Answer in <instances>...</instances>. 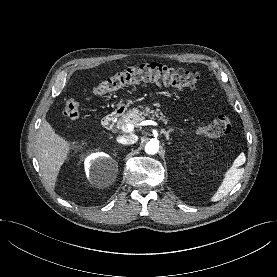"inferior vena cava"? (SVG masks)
I'll return each instance as SVG.
<instances>
[{"mask_svg":"<svg viewBox=\"0 0 277 277\" xmlns=\"http://www.w3.org/2000/svg\"><path fill=\"white\" fill-rule=\"evenodd\" d=\"M138 140L137 135L130 133L117 138V141L121 144L129 145L134 144Z\"/></svg>","mask_w":277,"mask_h":277,"instance_id":"602c4592","label":"inferior vena cava"}]
</instances>
